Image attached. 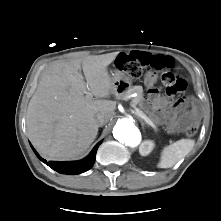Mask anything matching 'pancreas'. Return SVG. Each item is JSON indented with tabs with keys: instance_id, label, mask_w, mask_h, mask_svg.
<instances>
[{
	"instance_id": "pancreas-1",
	"label": "pancreas",
	"mask_w": 221,
	"mask_h": 221,
	"mask_svg": "<svg viewBox=\"0 0 221 221\" xmlns=\"http://www.w3.org/2000/svg\"><path fill=\"white\" fill-rule=\"evenodd\" d=\"M131 93H137V97L133 98L131 103L142 107L143 106V89H142V87L141 86L131 87L130 89H128L126 91L124 96L131 94ZM148 118L152 123H154V120L151 118V116H149Z\"/></svg>"
}]
</instances>
